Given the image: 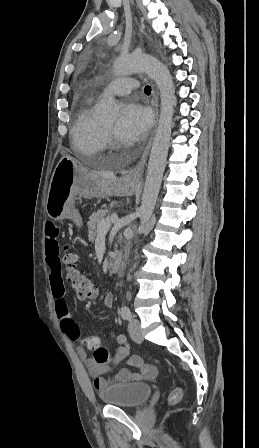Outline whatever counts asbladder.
Wrapping results in <instances>:
<instances>
[{"mask_svg": "<svg viewBox=\"0 0 259 448\" xmlns=\"http://www.w3.org/2000/svg\"><path fill=\"white\" fill-rule=\"evenodd\" d=\"M152 391L148 383H119L105 387L99 393V398L105 404L132 408L146 402Z\"/></svg>", "mask_w": 259, "mask_h": 448, "instance_id": "bladder-1", "label": "bladder"}]
</instances>
